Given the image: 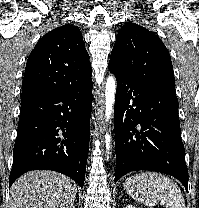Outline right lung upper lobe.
I'll return each mask as SVG.
<instances>
[{"mask_svg": "<svg viewBox=\"0 0 199 208\" xmlns=\"http://www.w3.org/2000/svg\"><path fill=\"white\" fill-rule=\"evenodd\" d=\"M91 71L79 28L70 24L55 28L28 57L21 102L82 85L91 79Z\"/></svg>", "mask_w": 199, "mask_h": 208, "instance_id": "obj_1", "label": "right lung upper lobe"}]
</instances>
